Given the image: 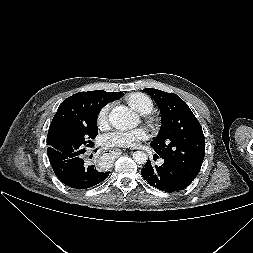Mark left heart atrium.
<instances>
[{"mask_svg": "<svg viewBox=\"0 0 253 253\" xmlns=\"http://www.w3.org/2000/svg\"><path fill=\"white\" fill-rule=\"evenodd\" d=\"M149 132L144 128L134 130H116L103 137V144L107 147L130 148L148 139Z\"/></svg>", "mask_w": 253, "mask_h": 253, "instance_id": "1", "label": "left heart atrium"}]
</instances>
